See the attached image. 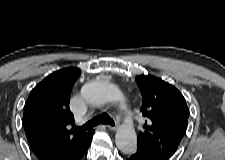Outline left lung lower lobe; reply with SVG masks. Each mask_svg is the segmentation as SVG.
<instances>
[{
    "label": "left lung lower lobe",
    "mask_w": 225,
    "mask_h": 160,
    "mask_svg": "<svg viewBox=\"0 0 225 160\" xmlns=\"http://www.w3.org/2000/svg\"><path fill=\"white\" fill-rule=\"evenodd\" d=\"M127 160H162L154 155L138 150L133 153Z\"/></svg>",
    "instance_id": "1"
}]
</instances>
